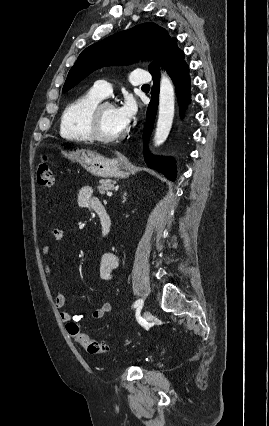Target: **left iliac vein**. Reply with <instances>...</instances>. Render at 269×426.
I'll use <instances>...</instances> for the list:
<instances>
[{
    "label": "left iliac vein",
    "mask_w": 269,
    "mask_h": 426,
    "mask_svg": "<svg viewBox=\"0 0 269 426\" xmlns=\"http://www.w3.org/2000/svg\"><path fill=\"white\" fill-rule=\"evenodd\" d=\"M146 322H149L151 320V313L149 311H145L143 315Z\"/></svg>",
    "instance_id": "obj_1"
}]
</instances>
